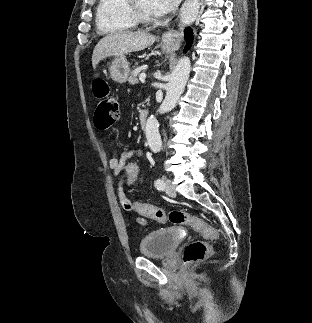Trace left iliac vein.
<instances>
[{
  "instance_id": "obj_1",
  "label": "left iliac vein",
  "mask_w": 312,
  "mask_h": 323,
  "mask_svg": "<svg viewBox=\"0 0 312 323\" xmlns=\"http://www.w3.org/2000/svg\"><path fill=\"white\" fill-rule=\"evenodd\" d=\"M164 189L166 193L170 196H173L176 194L175 188L172 185V181L170 179H166L164 182Z\"/></svg>"
}]
</instances>
